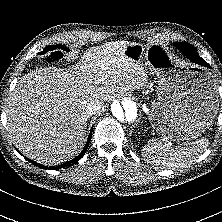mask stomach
I'll use <instances>...</instances> for the list:
<instances>
[{"mask_svg":"<svg viewBox=\"0 0 222 222\" xmlns=\"http://www.w3.org/2000/svg\"><path fill=\"white\" fill-rule=\"evenodd\" d=\"M122 53L134 62L144 61L157 77V100L151 103L149 121L163 140H193L209 128L218 110L211 73L177 64L160 43L128 42Z\"/></svg>","mask_w":222,"mask_h":222,"instance_id":"stomach-1","label":"stomach"}]
</instances>
